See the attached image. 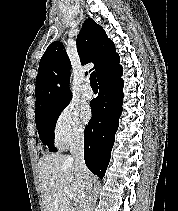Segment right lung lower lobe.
Returning <instances> with one entry per match:
<instances>
[{"label": "right lung lower lobe", "mask_w": 178, "mask_h": 211, "mask_svg": "<svg viewBox=\"0 0 178 211\" xmlns=\"http://www.w3.org/2000/svg\"><path fill=\"white\" fill-rule=\"evenodd\" d=\"M122 70L99 82L92 118L84 131V158L89 170L103 178L110 161L124 97Z\"/></svg>", "instance_id": "1"}]
</instances>
